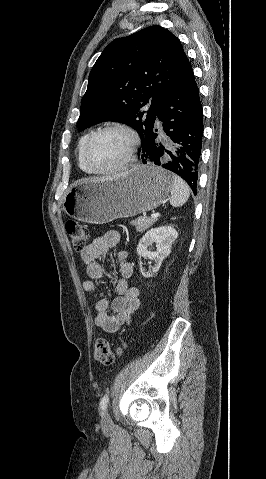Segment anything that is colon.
<instances>
[{
	"mask_svg": "<svg viewBox=\"0 0 266 479\" xmlns=\"http://www.w3.org/2000/svg\"><path fill=\"white\" fill-rule=\"evenodd\" d=\"M65 230L73 248L78 252H82L89 240L88 229L76 221L69 220L65 224ZM122 350L123 347L113 349L106 339L100 338L95 343L94 356L100 364L110 366L114 363L115 358L121 355Z\"/></svg>",
	"mask_w": 266,
	"mask_h": 479,
	"instance_id": "colon-1",
	"label": "colon"
}]
</instances>
